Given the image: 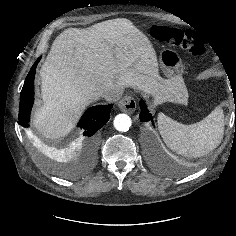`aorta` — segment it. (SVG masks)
I'll return each instance as SVG.
<instances>
[{"mask_svg": "<svg viewBox=\"0 0 236 236\" xmlns=\"http://www.w3.org/2000/svg\"><path fill=\"white\" fill-rule=\"evenodd\" d=\"M132 121L127 114H118L114 118V127L120 132H126L131 127Z\"/></svg>", "mask_w": 236, "mask_h": 236, "instance_id": "obj_1", "label": "aorta"}]
</instances>
